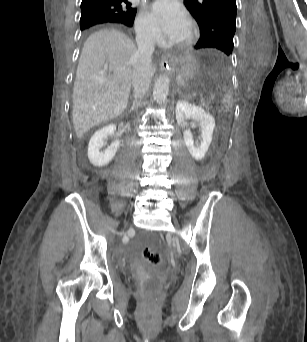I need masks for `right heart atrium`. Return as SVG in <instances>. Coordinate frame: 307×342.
I'll use <instances>...</instances> for the list:
<instances>
[{"instance_id": "d8ad5b80", "label": "right heart atrium", "mask_w": 307, "mask_h": 342, "mask_svg": "<svg viewBox=\"0 0 307 342\" xmlns=\"http://www.w3.org/2000/svg\"><path fill=\"white\" fill-rule=\"evenodd\" d=\"M135 32L139 37H151L153 29L143 18H139L135 24Z\"/></svg>"}]
</instances>
